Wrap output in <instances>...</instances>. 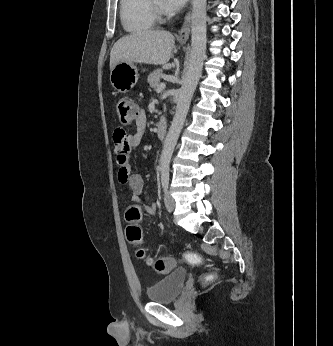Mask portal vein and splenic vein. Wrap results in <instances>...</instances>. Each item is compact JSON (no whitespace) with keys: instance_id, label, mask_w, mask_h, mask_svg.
Instances as JSON below:
<instances>
[{"instance_id":"1","label":"portal vein and splenic vein","mask_w":333,"mask_h":346,"mask_svg":"<svg viewBox=\"0 0 333 346\" xmlns=\"http://www.w3.org/2000/svg\"><path fill=\"white\" fill-rule=\"evenodd\" d=\"M165 87H166L165 83H160L156 89V92L157 93L162 92L165 89Z\"/></svg>"}]
</instances>
